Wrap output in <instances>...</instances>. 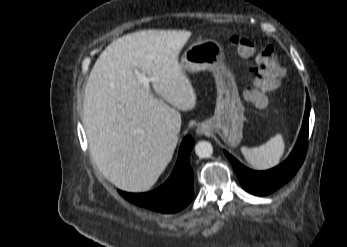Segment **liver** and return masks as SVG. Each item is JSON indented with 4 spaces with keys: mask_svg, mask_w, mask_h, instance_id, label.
I'll use <instances>...</instances> for the list:
<instances>
[{
    "mask_svg": "<svg viewBox=\"0 0 347 247\" xmlns=\"http://www.w3.org/2000/svg\"><path fill=\"white\" fill-rule=\"evenodd\" d=\"M190 31L143 30L109 44L95 62L84 92L83 121L100 172L117 188L149 190L171 161L181 128L178 110L195 108V90L178 54ZM152 81L154 97L138 80Z\"/></svg>",
    "mask_w": 347,
    "mask_h": 247,
    "instance_id": "1",
    "label": "liver"
}]
</instances>
